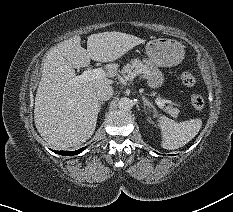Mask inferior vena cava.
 Wrapping results in <instances>:
<instances>
[{
  "label": "inferior vena cava",
  "instance_id": "obj_1",
  "mask_svg": "<svg viewBox=\"0 0 233 212\" xmlns=\"http://www.w3.org/2000/svg\"><path fill=\"white\" fill-rule=\"evenodd\" d=\"M113 92L110 85H100L95 89L96 98L100 101L109 100L113 96Z\"/></svg>",
  "mask_w": 233,
  "mask_h": 212
}]
</instances>
